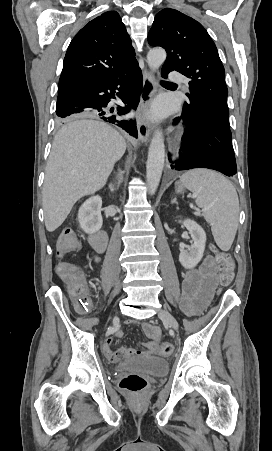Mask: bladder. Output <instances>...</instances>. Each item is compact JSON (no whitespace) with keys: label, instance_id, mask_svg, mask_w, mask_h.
Instances as JSON below:
<instances>
[{"label":"bladder","instance_id":"bladder-1","mask_svg":"<svg viewBox=\"0 0 272 451\" xmlns=\"http://www.w3.org/2000/svg\"><path fill=\"white\" fill-rule=\"evenodd\" d=\"M115 368L161 377L167 373L168 360L148 353L142 356L131 355L129 359L116 363Z\"/></svg>","mask_w":272,"mask_h":451}]
</instances>
